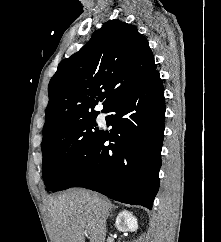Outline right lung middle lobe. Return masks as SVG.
Returning <instances> with one entry per match:
<instances>
[{
    "label": "right lung middle lobe",
    "mask_w": 221,
    "mask_h": 242,
    "mask_svg": "<svg viewBox=\"0 0 221 242\" xmlns=\"http://www.w3.org/2000/svg\"><path fill=\"white\" fill-rule=\"evenodd\" d=\"M97 114L82 116L43 136L42 174L48 190L59 183L69 167L99 134Z\"/></svg>",
    "instance_id": "obj_1"
}]
</instances>
